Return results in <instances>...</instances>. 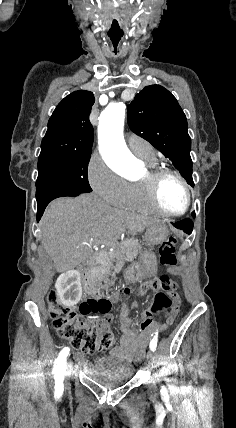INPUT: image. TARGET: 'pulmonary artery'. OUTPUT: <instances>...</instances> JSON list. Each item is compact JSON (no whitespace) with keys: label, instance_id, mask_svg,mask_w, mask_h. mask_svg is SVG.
Segmentation results:
<instances>
[{"label":"pulmonary artery","instance_id":"pulmonary-artery-1","mask_svg":"<svg viewBox=\"0 0 236 428\" xmlns=\"http://www.w3.org/2000/svg\"><path fill=\"white\" fill-rule=\"evenodd\" d=\"M146 145H139L137 142L130 143L131 151L139 158L143 159H154L153 148L145 143Z\"/></svg>","mask_w":236,"mask_h":428}]
</instances>
